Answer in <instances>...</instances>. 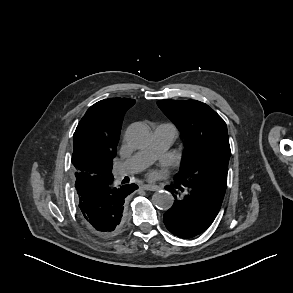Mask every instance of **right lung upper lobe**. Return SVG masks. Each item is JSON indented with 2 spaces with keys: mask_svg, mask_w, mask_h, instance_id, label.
Segmentation results:
<instances>
[{
  "mask_svg": "<svg viewBox=\"0 0 293 293\" xmlns=\"http://www.w3.org/2000/svg\"><path fill=\"white\" fill-rule=\"evenodd\" d=\"M134 103L133 99L110 98L87 110L73 136L72 163L76 172L93 174L97 163L112 162L123 115Z\"/></svg>",
  "mask_w": 293,
  "mask_h": 293,
  "instance_id": "right-lung-upper-lobe-1",
  "label": "right lung upper lobe"
}]
</instances>
